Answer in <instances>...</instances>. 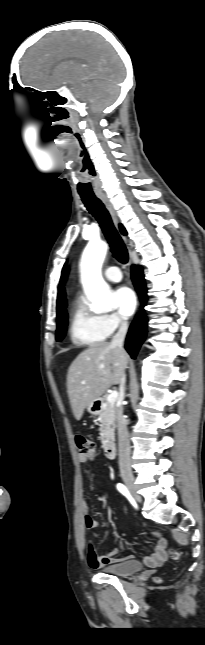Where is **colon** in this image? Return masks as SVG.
I'll list each match as a JSON object with an SVG mask.
<instances>
[{
	"label": "colon",
	"instance_id": "colon-1",
	"mask_svg": "<svg viewBox=\"0 0 205 645\" xmlns=\"http://www.w3.org/2000/svg\"><path fill=\"white\" fill-rule=\"evenodd\" d=\"M75 443H76V446H77V449H78V452H79L80 456H82L84 458H89V459H92V458L95 457V455H96V447H95L94 442L91 439H89L88 437H86L84 435H76ZM155 536L161 537L160 534H155ZM169 555H170V557L172 559H175V560L178 559L179 556H180L179 552L174 548H171L169 550Z\"/></svg>",
	"mask_w": 205,
	"mask_h": 645
}]
</instances>
